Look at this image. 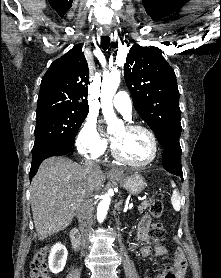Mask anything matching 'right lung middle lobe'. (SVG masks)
<instances>
[{
	"label": "right lung middle lobe",
	"mask_w": 221,
	"mask_h": 278,
	"mask_svg": "<svg viewBox=\"0 0 221 278\" xmlns=\"http://www.w3.org/2000/svg\"><path fill=\"white\" fill-rule=\"evenodd\" d=\"M87 114L63 108L37 109L33 149L55 140L75 143L76 134Z\"/></svg>",
	"instance_id": "obj_1"
}]
</instances>
